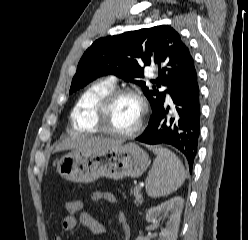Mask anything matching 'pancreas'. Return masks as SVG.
Wrapping results in <instances>:
<instances>
[{"instance_id": "pancreas-1", "label": "pancreas", "mask_w": 248, "mask_h": 240, "mask_svg": "<svg viewBox=\"0 0 248 240\" xmlns=\"http://www.w3.org/2000/svg\"><path fill=\"white\" fill-rule=\"evenodd\" d=\"M140 191H141V188L138 186L134 187V189L132 191V194L135 197L134 203L137 205L141 204L143 202V197H142V194L140 193Z\"/></svg>"}]
</instances>
